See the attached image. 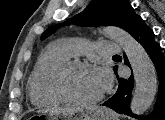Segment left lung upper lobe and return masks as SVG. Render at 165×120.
I'll list each match as a JSON object with an SVG mask.
<instances>
[{
  "mask_svg": "<svg viewBox=\"0 0 165 120\" xmlns=\"http://www.w3.org/2000/svg\"><path fill=\"white\" fill-rule=\"evenodd\" d=\"M139 17L126 0H93L81 13L69 21L81 26L114 25L131 33ZM58 26L48 28L42 34L41 39L52 34Z\"/></svg>",
  "mask_w": 165,
  "mask_h": 120,
  "instance_id": "left-lung-upper-lobe-1",
  "label": "left lung upper lobe"
}]
</instances>
